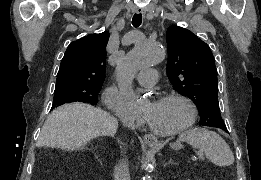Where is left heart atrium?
Wrapping results in <instances>:
<instances>
[{
	"mask_svg": "<svg viewBox=\"0 0 261 180\" xmlns=\"http://www.w3.org/2000/svg\"><path fill=\"white\" fill-rule=\"evenodd\" d=\"M147 114H148V110H146V109L145 110H140L139 113H137L135 117L137 119H140V120L143 121L144 118L147 116Z\"/></svg>",
	"mask_w": 261,
	"mask_h": 180,
	"instance_id": "1",
	"label": "left heart atrium"
}]
</instances>
